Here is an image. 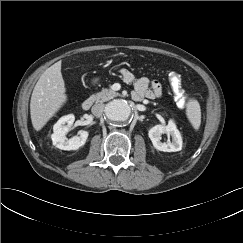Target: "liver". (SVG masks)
Segmentation results:
<instances>
[{"mask_svg": "<svg viewBox=\"0 0 243 243\" xmlns=\"http://www.w3.org/2000/svg\"><path fill=\"white\" fill-rule=\"evenodd\" d=\"M66 102L61 61H58L44 71L33 89L30 101L33 128L40 131Z\"/></svg>", "mask_w": 243, "mask_h": 243, "instance_id": "obj_1", "label": "liver"}]
</instances>
